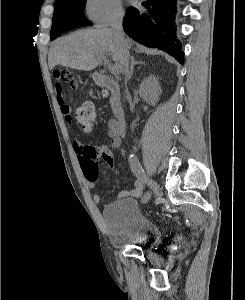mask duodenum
<instances>
[{"label":"duodenum","instance_id":"obj_1","mask_svg":"<svg viewBox=\"0 0 245 300\" xmlns=\"http://www.w3.org/2000/svg\"><path fill=\"white\" fill-rule=\"evenodd\" d=\"M96 82L102 88L108 90L111 93V110L118 121V123L125 127L126 125V116L125 111L122 105L121 97H120V88L118 83L109 75L106 74H97Z\"/></svg>","mask_w":245,"mask_h":300}]
</instances>
